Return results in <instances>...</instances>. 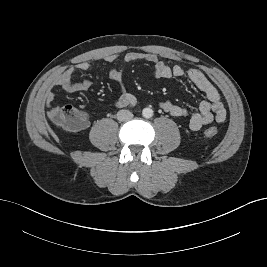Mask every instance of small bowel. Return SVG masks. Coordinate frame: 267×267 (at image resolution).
<instances>
[{"label": "small bowel", "mask_w": 267, "mask_h": 267, "mask_svg": "<svg viewBox=\"0 0 267 267\" xmlns=\"http://www.w3.org/2000/svg\"><path fill=\"white\" fill-rule=\"evenodd\" d=\"M118 58L119 57L116 54H106L101 57L103 61L108 63H113L117 61ZM122 60L124 65H128L133 62L151 63L154 66V76L157 79L186 77L196 88L205 94L206 100L200 103L197 112L190 115L189 128L191 130L197 131L208 124L222 123L225 121L226 109L221 95L200 70L194 68L185 70L180 65L169 66L160 60L156 54L139 51L126 53ZM94 65L95 64L90 62H80L74 67L66 69L54 79L53 86L59 87L69 93L89 90L92 85L90 80L86 79L82 82H73V76L76 71H90ZM109 76L119 86V95L115 101V106L118 108L134 106L137 102L136 97L129 93L124 85V67L111 68ZM45 99L48 105V117L53 120L56 112L60 108L56 105L54 94L51 91L46 92ZM159 106L162 110L175 118L186 117L189 115L187 108L170 101H161L159 102ZM79 113L84 121L81 129L86 128L88 126L87 116L84 112L79 111Z\"/></svg>", "instance_id": "c3829d8e"}]
</instances>
